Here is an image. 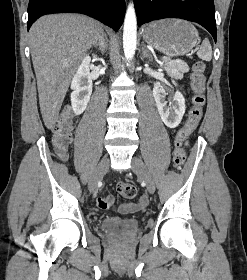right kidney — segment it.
Returning a JSON list of instances; mask_svg holds the SVG:
<instances>
[{
    "mask_svg": "<svg viewBox=\"0 0 247 280\" xmlns=\"http://www.w3.org/2000/svg\"><path fill=\"white\" fill-rule=\"evenodd\" d=\"M90 62L91 58L89 56L84 57L71 82V89L73 90L71 93V104L76 115H80L85 111L92 93V79L89 70Z\"/></svg>",
    "mask_w": 247,
    "mask_h": 280,
    "instance_id": "obj_1",
    "label": "right kidney"
}]
</instances>
